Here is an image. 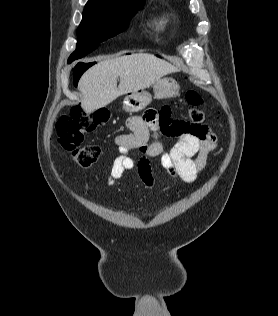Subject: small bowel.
I'll return each mask as SVG.
<instances>
[{
	"instance_id": "1",
	"label": "small bowel",
	"mask_w": 278,
	"mask_h": 316,
	"mask_svg": "<svg viewBox=\"0 0 278 316\" xmlns=\"http://www.w3.org/2000/svg\"><path fill=\"white\" fill-rule=\"evenodd\" d=\"M178 122L170 119L168 107H163L160 112L150 109L143 116L129 117L126 127L130 133L118 135L115 139L118 156L112 164L109 183L113 185L125 172L135 169V181L152 189L155 185L152 159L159 160L176 185L179 181L194 182L205 169L208 155L216 149L217 138L207 126L198 134L181 132L173 135L170 131ZM160 135L177 136L178 140L166 151L159 141ZM130 150H137L141 156L132 158Z\"/></svg>"
}]
</instances>
